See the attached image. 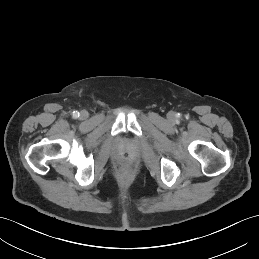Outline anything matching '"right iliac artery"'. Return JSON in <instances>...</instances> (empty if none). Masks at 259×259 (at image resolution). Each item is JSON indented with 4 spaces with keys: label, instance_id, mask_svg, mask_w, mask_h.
Masks as SVG:
<instances>
[{
    "label": "right iliac artery",
    "instance_id": "1",
    "mask_svg": "<svg viewBox=\"0 0 259 259\" xmlns=\"http://www.w3.org/2000/svg\"><path fill=\"white\" fill-rule=\"evenodd\" d=\"M73 118H78L79 117V112L78 111H73Z\"/></svg>",
    "mask_w": 259,
    "mask_h": 259
}]
</instances>
